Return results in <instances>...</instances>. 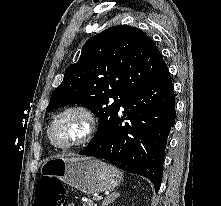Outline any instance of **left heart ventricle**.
<instances>
[{
    "label": "left heart ventricle",
    "instance_id": "left-heart-ventricle-1",
    "mask_svg": "<svg viewBox=\"0 0 221 206\" xmlns=\"http://www.w3.org/2000/svg\"><path fill=\"white\" fill-rule=\"evenodd\" d=\"M83 131V120L71 115L60 120L52 131L53 140L56 143H65L78 137Z\"/></svg>",
    "mask_w": 221,
    "mask_h": 206
}]
</instances>
